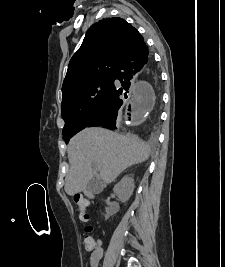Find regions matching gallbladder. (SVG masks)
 I'll use <instances>...</instances> for the list:
<instances>
[{"mask_svg":"<svg viewBox=\"0 0 225 267\" xmlns=\"http://www.w3.org/2000/svg\"><path fill=\"white\" fill-rule=\"evenodd\" d=\"M88 189L93 191V192H98V189H96L95 185H94V182L91 181L89 184H88Z\"/></svg>","mask_w":225,"mask_h":267,"instance_id":"gallbladder-1","label":"gallbladder"}]
</instances>
